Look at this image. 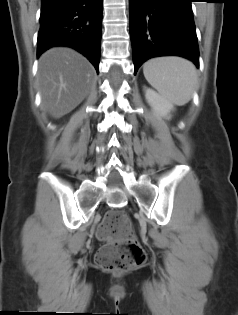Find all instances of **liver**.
Returning <instances> with one entry per match:
<instances>
[{"mask_svg": "<svg viewBox=\"0 0 238 315\" xmlns=\"http://www.w3.org/2000/svg\"><path fill=\"white\" fill-rule=\"evenodd\" d=\"M95 70L77 51L54 47L39 59L38 79L42 102L54 118L71 112L89 94Z\"/></svg>", "mask_w": 238, "mask_h": 315, "instance_id": "liver-1", "label": "liver"}]
</instances>
